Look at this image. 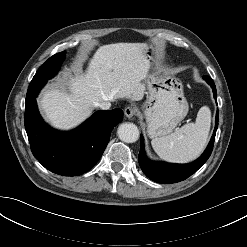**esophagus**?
I'll list each match as a JSON object with an SVG mask.
<instances>
[{
    "label": "esophagus",
    "instance_id": "1",
    "mask_svg": "<svg viewBox=\"0 0 247 247\" xmlns=\"http://www.w3.org/2000/svg\"><path fill=\"white\" fill-rule=\"evenodd\" d=\"M137 108L135 106H128L125 108L124 114L127 118H132L137 113Z\"/></svg>",
    "mask_w": 247,
    "mask_h": 247
}]
</instances>
